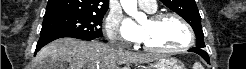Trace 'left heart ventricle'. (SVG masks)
Here are the masks:
<instances>
[{"label": "left heart ventricle", "instance_id": "obj_1", "mask_svg": "<svg viewBox=\"0 0 246 69\" xmlns=\"http://www.w3.org/2000/svg\"><path fill=\"white\" fill-rule=\"evenodd\" d=\"M143 42L161 49L177 48L187 40L184 27L175 19L167 18L158 22L147 20L142 23Z\"/></svg>", "mask_w": 246, "mask_h": 69}]
</instances>
